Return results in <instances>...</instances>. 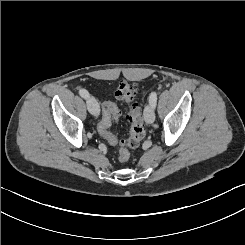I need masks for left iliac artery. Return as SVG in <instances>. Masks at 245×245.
<instances>
[{
	"mask_svg": "<svg viewBox=\"0 0 245 245\" xmlns=\"http://www.w3.org/2000/svg\"><path fill=\"white\" fill-rule=\"evenodd\" d=\"M149 102L152 104L153 107L156 106V102H157V92L153 91L150 96H149Z\"/></svg>",
	"mask_w": 245,
	"mask_h": 245,
	"instance_id": "obj_1",
	"label": "left iliac artery"
}]
</instances>
